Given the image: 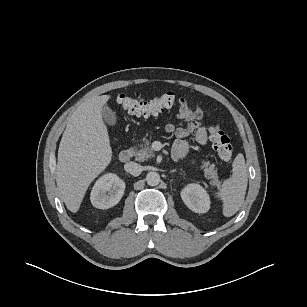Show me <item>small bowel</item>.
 I'll list each match as a JSON object with an SVG mask.
<instances>
[{
	"instance_id": "obj_1",
	"label": "small bowel",
	"mask_w": 307,
	"mask_h": 307,
	"mask_svg": "<svg viewBox=\"0 0 307 307\" xmlns=\"http://www.w3.org/2000/svg\"><path fill=\"white\" fill-rule=\"evenodd\" d=\"M177 123H168L165 127L168 133L176 136L172 146L173 157L176 160L185 158L190 150L185 138L193 133L200 145H205L208 139L207 128L203 125V111L200 108L192 109L185 99H179V109L176 115Z\"/></svg>"
}]
</instances>
